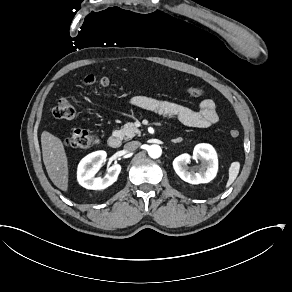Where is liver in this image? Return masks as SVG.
Wrapping results in <instances>:
<instances>
[{"mask_svg":"<svg viewBox=\"0 0 292 292\" xmlns=\"http://www.w3.org/2000/svg\"><path fill=\"white\" fill-rule=\"evenodd\" d=\"M43 161L52 182L61 190L68 188V166L62 141L47 131L41 134Z\"/></svg>","mask_w":292,"mask_h":292,"instance_id":"obj_1","label":"liver"}]
</instances>
